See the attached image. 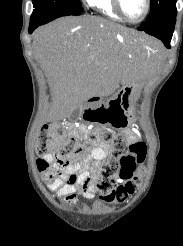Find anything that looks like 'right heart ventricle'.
<instances>
[{
	"label": "right heart ventricle",
	"instance_id": "right-heart-ventricle-1",
	"mask_svg": "<svg viewBox=\"0 0 183 246\" xmlns=\"http://www.w3.org/2000/svg\"><path fill=\"white\" fill-rule=\"evenodd\" d=\"M95 11L114 20L122 21V17L115 10L113 0H88Z\"/></svg>",
	"mask_w": 183,
	"mask_h": 246
}]
</instances>
